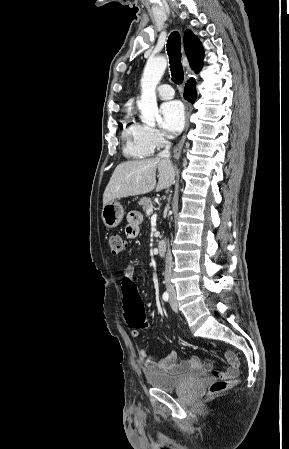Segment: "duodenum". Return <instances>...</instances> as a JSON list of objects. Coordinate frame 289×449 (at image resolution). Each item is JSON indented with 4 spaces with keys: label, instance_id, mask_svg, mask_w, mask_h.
Listing matches in <instances>:
<instances>
[{
    "label": "duodenum",
    "instance_id": "1",
    "mask_svg": "<svg viewBox=\"0 0 289 449\" xmlns=\"http://www.w3.org/2000/svg\"><path fill=\"white\" fill-rule=\"evenodd\" d=\"M167 244L164 240L160 239L157 241V251L160 256H164L166 253Z\"/></svg>",
    "mask_w": 289,
    "mask_h": 449
}]
</instances>
